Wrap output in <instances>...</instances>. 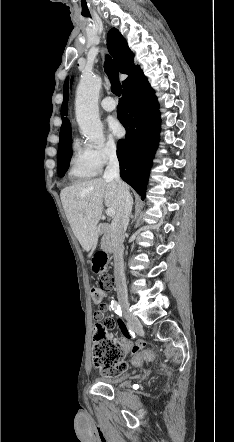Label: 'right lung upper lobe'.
<instances>
[{
    "instance_id": "cb5924a9",
    "label": "right lung upper lobe",
    "mask_w": 234,
    "mask_h": 442,
    "mask_svg": "<svg viewBox=\"0 0 234 442\" xmlns=\"http://www.w3.org/2000/svg\"><path fill=\"white\" fill-rule=\"evenodd\" d=\"M107 47L112 54L114 61L116 62L121 73L127 74L128 77L123 81L124 85L130 78L141 73V69L138 65L133 63L134 54L129 49L126 40L115 28L111 29L107 36ZM64 100L61 106L62 126L60 130L59 146L64 145L69 139H71V126L67 116V101H68V79L64 83Z\"/></svg>"
}]
</instances>
